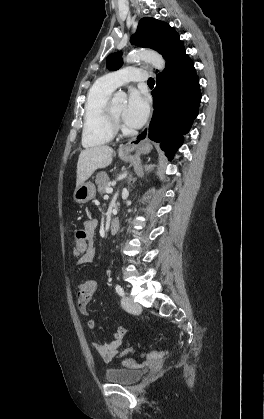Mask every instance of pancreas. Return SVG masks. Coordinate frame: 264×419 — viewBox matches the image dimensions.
Returning a JSON list of instances; mask_svg holds the SVG:
<instances>
[{"label": "pancreas", "mask_w": 264, "mask_h": 419, "mask_svg": "<svg viewBox=\"0 0 264 419\" xmlns=\"http://www.w3.org/2000/svg\"><path fill=\"white\" fill-rule=\"evenodd\" d=\"M95 183L98 187V192L100 194H104L106 192V189L110 187V179L106 172H99L96 175Z\"/></svg>", "instance_id": "cf45deb5"}]
</instances>
